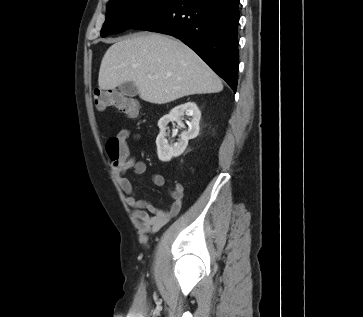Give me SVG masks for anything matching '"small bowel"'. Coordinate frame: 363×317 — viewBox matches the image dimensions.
<instances>
[{
  "instance_id": "obj_1",
  "label": "small bowel",
  "mask_w": 363,
  "mask_h": 317,
  "mask_svg": "<svg viewBox=\"0 0 363 317\" xmlns=\"http://www.w3.org/2000/svg\"><path fill=\"white\" fill-rule=\"evenodd\" d=\"M118 136L125 146L122 161L118 164L114 163L112 166L118 184L125 193L127 205L133 209L132 215L137 221L139 228L145 231H157L171 218L179 214L184 197L183 185L176 183L170 190L169 193L173 201L168 208H160L155 206L152 201L137 198L136 191L131 181L127 178L126 173L128 170L133 169L136 174L142 175L147 171V166L144 162L136 161L131 155L130 146L127 141L130 136L129 130L122 129ZM151 180L158 187L163 186L165 183L164 176L158 173L153 174Z\"/></svg>"
}]
</instances>
